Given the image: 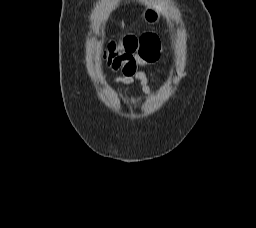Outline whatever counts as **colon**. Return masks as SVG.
Instances as JSON below:
<instances>
[{
    "label": "colon",
    "mask_w": 256,
    "mask_h": 228,
    "mask_svg": "<svg viewBox=\"0 0 256 228\" xmlns=\"http://www.w3.org/2000/svg\"><path fill=\"white\" fill-rule=\"evenodd\" d=\"M161 44L158 37L151 33L137 36H126L119 42H112L108 46L106 59L110 65L123 54L138 53L150 60L158 59Z\"/></svg>",
    "instance_id": "colon-1"
}]
</instances>
